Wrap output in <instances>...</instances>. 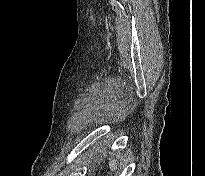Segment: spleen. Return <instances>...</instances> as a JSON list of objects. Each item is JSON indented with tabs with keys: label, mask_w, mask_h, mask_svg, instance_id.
<instances>
[{
	"label": "spleen",
	"mask_w": 205,
	"mask_h": 176,
	"mask_svg": "<svg viewBox=\"0 0 205 176\" xmlns=\"http://www.w3.org/2000/svg\"><path fill=\"white\" fill-rule=\"evenodd\" d=\"M109 168L111 169L112 172H116L117 170V161L113 157L109 158Z\"/></svg>",
	"instance_id": "3e777b00"
}]
</instances>
